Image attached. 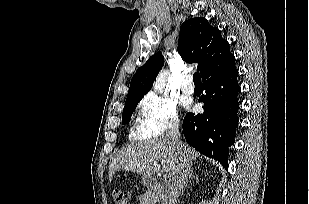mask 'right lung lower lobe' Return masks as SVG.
Returning <instances> with one entry per match:
<instances>
[{"label": "right lung lower lobe", "mask_w": 309, "mask_h": 204, "mask_svg": "<svg viewBox=\"0 0 309 204\" xmlns=\"http://www.w3.org/2000/svg\"><path fill=\"white\" fill-rule=\"evenodd\" d=\"M238 70L235 65L203 81L204 113H187L183 120L186 142L207 157L228 166V148L239 123Z\"/></svg>", "instance_id": "right-lung-lower-lobe-1"}]
</instances>
